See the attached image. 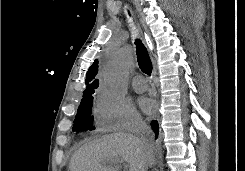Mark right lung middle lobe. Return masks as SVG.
Wrapping results in <instances>:
<instances>
[{"label":"right lung middle lobe","instance_id":"obj_1","mask_svg":"<svg viewBox=\"0 0 245 171\" xmlns=\"http://www.w3.org/2000/svg\"><path fill=\"white\" fill-rule=\"evenodd\" d=\"M92 106V95L82 99L74 120L73 131L79 132L93 129L94 117L92 115Z\"/></svg>","mask_w":245,"mask_h":171}]
</instances>
